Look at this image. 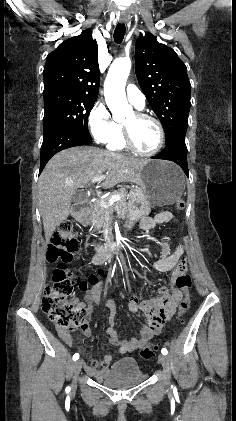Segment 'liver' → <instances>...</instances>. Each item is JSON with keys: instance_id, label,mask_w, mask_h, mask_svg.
I'll list each match as a JSON object with an SVG mask.
<instances>
[{"instance_id": "1", "label": "liver", "mask_w": 236, "mask_h": 421, "mask_svg": "<svg viewBox=\"0 0 236 421\" xmlns=\"http://www.w3.org/2000/svg\"><path fill=\"white\" fill-rule=\"evenodd\" d=\"M144 158L124 156L94 146H72L54 154L38 180V202L45 239L49 243L56 227L70 215V200L78 186L89 184L93 176L106 172L102 188L117 182H137ZM72 184V186H66Z\"/></svg>"}]
</instances>
